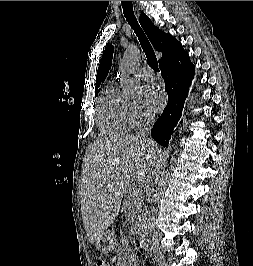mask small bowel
Masks as SVG:
<instances>
[{
    "label": "small bowel",
    "mask_w": 253,
    "mask_h": 266,
    "mask_svg": "<svg viewBox=\"0 0 253 266\" xmlns=\"http://www.w3.org/2000/svg\"><path fill=\"white\" fill-rule=\"evenodd\" d=\"M112 261L114 262V263H117L118 265H122L123 264V262H122V257L120 256V257H115L114 259H112ZM124 263H126V264H129V265H134V262L132 261V260H125L124 261Z\"/></svg>",
    "instance_id": "1"
}]
</instances>
